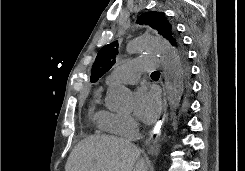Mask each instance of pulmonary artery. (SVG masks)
<instances>
[{"label":"pulmonary artery","instance_id":"pulmonary-artery-1","mask_svg":"<svg viewBox=\"0 0 245 171\" xmlns=\"http://www.w3.org/2000/svg\"><path fill=\"white\" fill-rule=\"evenodd\" d=\"M160 58L157 56H145L122 63L106 77V82H136L141 73L154 71Z\"/></svg>","mask_w":245,"mask_h":171}]
</instances>
